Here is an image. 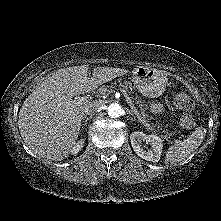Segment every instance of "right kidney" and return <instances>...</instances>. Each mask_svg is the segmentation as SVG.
I'll return each mask as SVG.
<instances>
[{
    "label": "right kidney",
    "mask_w": 221,
    "mask_h": 221,
    "mask_svg": "<svg viewBox=\"0 0 221 221\" xmlns=\"http://www.w3.org/2000/svg\"><path fill=\"white\" fill-rule=\"evenodd\" d=\"M84 146V139H80L71 149L70 153L73 155L78 154V152L83 148Z\"/></svg>",
    "instance_id": "1"
}]
</instances>
